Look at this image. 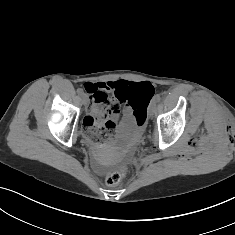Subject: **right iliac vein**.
Listing matches in <instances>:
<instances>
[{
    "label": "right iliac vein",
    "mask_w": 235,
    "mask_h": 235,
    "mask_svg": "<svg viewBox=\"0 0 235 235\" xmlns=\"http://www.w3.org/2000/svg\"><path fill=\"white\" fill-rule=\"evenodd\" d=\"M82 103H83L85 106H88L89 101H88V98H87L86 95H83V96H82Z\"/></svg>",
    "instance_id": "obj_1"
}]
</instances>
